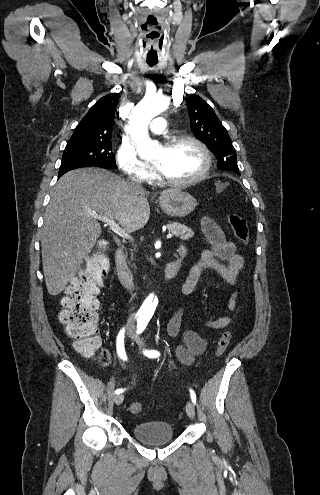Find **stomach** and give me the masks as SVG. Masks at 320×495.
<instances>
[{
  "label": "stomach",
  "instance_id": "1",
  "mask_svg": "<svg viewBox=\"0 0 320 495\" xmlns=\"http://www.w3.org/2000/svg\"><path fill=\"white\" fill-rule=\"evenodd\" d=\"M159 204L164 213L180 218L189 215L195 209L196 200L186 192L174 190L161 195Z\"/></svg>",
  "mask_w": 320,
  "mask_h": 495
}]
</instances>
